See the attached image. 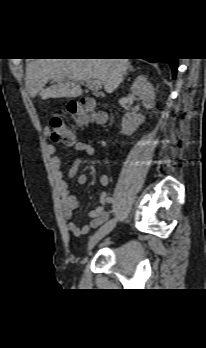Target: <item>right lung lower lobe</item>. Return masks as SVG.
<instances>
[{
  "instance_id": "1",
  "label": "right lung lower lobe",
  "mask_w": 206,
  "mask_h": 348,
  "mask_svg": "<svg viewBox=\"0 0 206 348\" xmlns=\"http://www.w3.org/2000/svg\"><path fill=\"white\" fill-rule=\"evenodd\" d=\"M164 62H167L171 68H172V72H173V79L176 76L177 73V68H178V59L177 58H168V59H161ZM149 61L151 62H157L160 61V59H149Z\"/></svg>"
}]
</instances>
